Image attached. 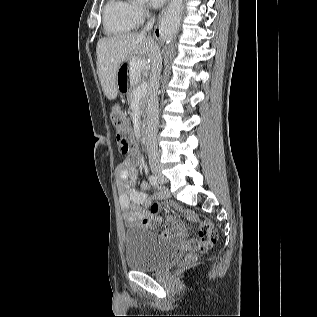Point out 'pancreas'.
Here are the masks:
<instances>
[{
  "mask_svg": "<svg viewBox=\"0 0 317 317\" xmlns=\"http://www.w3.org/2000/svg\"><path fill=\"white\" fill-rule=\"evenodd\" d=\"M138 76L140 77V72H137ZM138 88H140V83H134L133 86H130L128 88V94H127V99L129 102H131L134 99V93L138 91ZM146 96L143 95L139 98V108H140V113L144 114L145 106H146Z\"/></svg>",
  "mask_w": 317,
  "mask_h": 317,
  "instance_id": "1",
  "label": "pancreas"
}]
</instances>
